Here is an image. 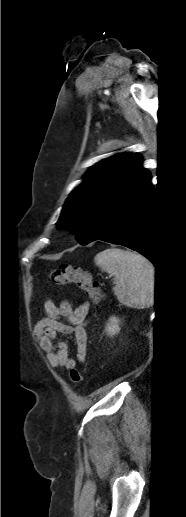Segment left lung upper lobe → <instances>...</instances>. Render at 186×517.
<instances>
[{
    "label": "left lung upper lobe",
    "instance_id": "obj_1",
    "mask_svg": "<svg viewBox=\"0 0 186 517\" xmlns=\"http://www.w3.org/2000/svg\"><path fill=\"white\" fill-rule=\"evenodd\" d=\"M136 153L116 154L92 166L67 199L56 225L87 245L102 218L146 172Z\"/></svg>",
    "mask_w": 186,
    "mask_h": 517
}]
</instances>
